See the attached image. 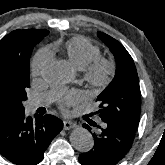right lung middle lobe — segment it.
<instances>
[{"label":"right lung middle lobe","mask_w":165,"mask_h":165,"mask_svg":"<svg viewBox=\"0 0 165 165\" xmlns=\"http://www.w3.org/2000/svg\"><path fill=\"white\" fill-rule=\"evenodd\" d=\"M43 37L28 39L10 54L0 55V102L17 113L24 111L22 102L27 99L30 86V56L34 46Z\"/></svg>","instance_id":"dd1d6c3e"}]
</instances>
